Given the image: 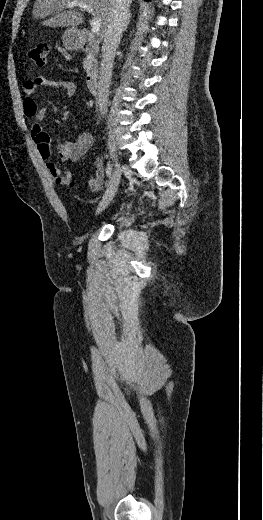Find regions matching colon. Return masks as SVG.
I'll return each mask as SVG.
<instances>
[{"mask_svg": "<svg viewBox=\"0 0 263 520\" xmlns=\"http://www.w3.org/2000/svg\"><path fill=\"white\" fill-rule=\"evenodd\" d=\"M48 45L45 43H38L27 51L28 58L37 66H44L47 62ZM74 186L73 183L70 184Z\"/></svg>", "mask_w": 263, "mask_h": 520, "instance_id": "5ec220e1", "label": "colon"}]
</instances>
